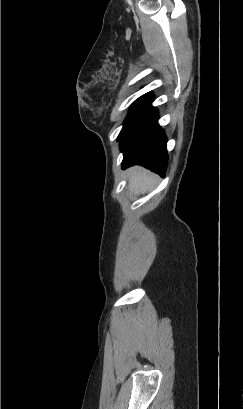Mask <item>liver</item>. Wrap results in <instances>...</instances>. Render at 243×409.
<instances>
[{"instance_id":"obj_1","label":"liver","mask_w":243,"mask_h":409,"mask_svg":"<svg viewBox=\"0 0 243 409\" xmlns=\"http://www.w3.org/2000/svg\"><path fill=\"white\" fill-rule=\"evenodd\" d=\"M128 178L131 191L145 193L153 188L157 176L142 167L134 166L128 170Z\"/></svg>"}]
</instances>
